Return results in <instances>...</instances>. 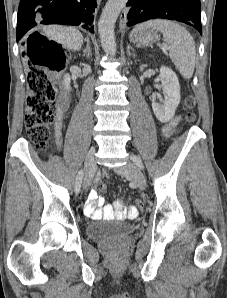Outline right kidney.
I'll return each instance as SVG.
<instances>
[{"instance_id": "1", "label": "right kidney", "mask_w": 227, "mask_h": 298, "mask_svg": "<svg viewBox=\"0 0 227 298\" xmlns=\"http://www.w3.org/2000/svg\"><path fill=\"white\" fill-rule=\"evenodd\" d=\"M63 85H64V89L66 91H69L71 89L70 88V76H69V74L64 75Z\"/></svg>"}]
</instances>
